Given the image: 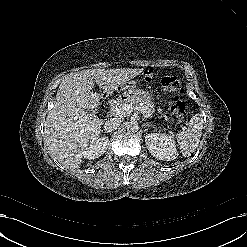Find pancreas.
I'll use <instances>...</instances> for the list:
<instances>
[{"label": "pancreas", "instance_id": "obj_1", "mask_svg": "<svg viewBox=\"0 0 247 247\" xmlns=\"http://www.w3.org/2000/svg\"><path fill=\"white\" fill-rule=\"evenodd\" d=\"M117 104L119 106L130 105L133 110L140 111L146 118H151L155 112L154 103L141 90H137L133 96L118 100Z\"/></svg>", "mask_w": 247, "mask_h": 247}]
</instances>
